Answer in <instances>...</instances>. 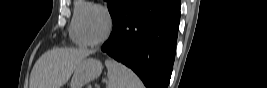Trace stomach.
<instances>
[{
    "mask_svg": "<svg viewBox=\"0 0 267 88\" xmlns=\"http://www.w3.org/2000/svg\"><path fill=\"white\" fill-rule=\"evenodd\" d=\"M102 67V63L98 59H83L74 70L70 88H82L86 83L98 78Z\"/></svg>",
    "mask_w": 267,
    "mask_h": 88,
    "instance_id": "obj_1",
    "label": "stomach"
}]
</instances>
